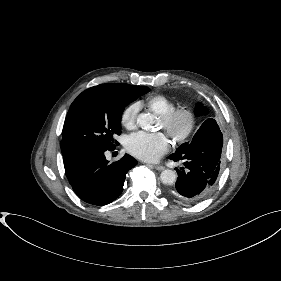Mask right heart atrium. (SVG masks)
Returning a JSON list of instances; mask_svg holds the SVG:
<instances>
[{
  "mask_svg": "<svg viewBox=\"0 0 281 281\" xmlns=\"http://www.w3.org/2000/svg\"><path fill=\"white\" fill-rule=\"evenodd\" d=\"M139 112V104L133 102L125 107L121 114V123L126 128H133L136 124L137 114Z\"/></svg>",
  "mask_w": 281,
  "mask_h": 281,
  "instance_id": "d8ad5b80",
  "label": "right heart atrium"
}]
</instances>
